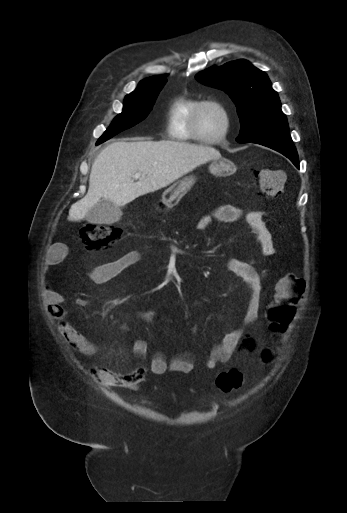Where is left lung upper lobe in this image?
Wrapping results in <instances>:
<instances>
[{
    "label": "left lung upper lobe",
    "mask_w": 347,
    "mask_h": 513,
    "mask_svg": "<svg viewBox=\"0 0 347 513\" xmlns=\"http://www.w3.org/2000/svg\"><path fill=\"white\" fill-rule=\"evenodd\" d=\"M200 82L225 91L237 107L241 129L239 143L288 133V123L268 76L246 60L211 67L197 74Z\"/></svg>",
    "instance_id": "left-lung-upper-lobe-1"
}]
</instances>
